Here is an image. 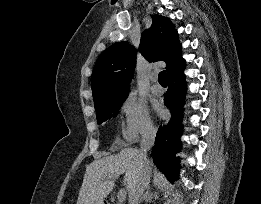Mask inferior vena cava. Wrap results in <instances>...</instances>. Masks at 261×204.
Instances as JSON below:
<instances>
[{"label": "inferior vena cava", "mask_w": 261, "mask_h": 204, "mask_svg": "<svg viewBox=\"0 0 261 204\" xmlns=\"http://www.w3.org/2000/svg\"><path fill=\"white\" fill-rule=\"evenodd\" d=\"M156 137V129L149 128L143 135L140 142V155L142 157L143 165V176L141 177L140 182L130 195L129 204H138L140 196L143 194V191L147 188L150 180V167L149 160L147 159V152L151 149L154 144Z\"/></svg>", "instance_id": "inferior-vena-cava-1"}]
</instances>
